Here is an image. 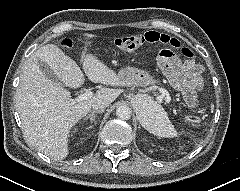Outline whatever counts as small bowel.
Wrapping results in <instances>:
<instances>
[{
	"label": "small bowel",
	"mask_w": 240,
	"mask_h": 191,
	"mask_svg": "<svg viewBox=\"0 0 240 191\" xmlns=\"http://www.w3.org/2000/svg\"><path fill=\"white\" fill-rule=\"evenodd\" d=\"M203 67L194 59L180 60L173 57L167 66L166 74L172 85L182 92L187 104L194 107L197 104V91L203 89L205 80Z\"/></svg>",
	"instance_id": "c3829d8e"
}]
</instances>
